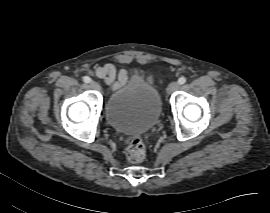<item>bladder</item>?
Here are the masks:
<instances>
[{
  "instance_id": "obj_1",
  "label": "bladder",
  "mask_w": 270,
  "mask_h": 213,
  "mask_svg": "<svg viewBox=\"0 0 270 213\" xmlns=\"http://www.w3.org/2000/svg\"><path fill=\"white\" fill-rule=\"evenodd\" d=\"M162 101L158 91L141 79L114 90L105 103L108 124L126 134L152 130L160 118Z\"/></svg>"
}]
</instances>
